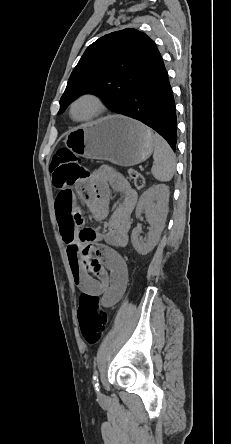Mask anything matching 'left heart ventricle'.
<instances>
[{"label": "left heart ventricle", "instance_id": "left-heart-ventricle-1", "mask_svg": "<svg viewBox=\"0 0 231 444\" xmlns=\"http://www.w3.org/2000/svg\"><path fill=\"white\" fill-rule=\"evenodd\" d=\"M95 110L96 105L92 100L82 99L75 105L73 114L76 118H85L92 115Z\"/></svg>", "mask_w": 231, "mask_h": 444}]
</instances>
